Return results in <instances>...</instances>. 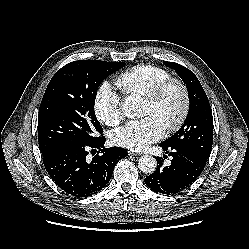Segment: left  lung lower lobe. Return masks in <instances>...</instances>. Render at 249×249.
Instances as JSON below:
<instances>
[{
  "label": "left lung lower lobe",
  "mask_w": 249,
  "mask_h": 249,
  "mask_svg": "<svg viewBox=\"0 0 249 249\" xmlns=\"http://www.w3.org/2000/svg\"><path fill=\"white\" fill-rule=\"evenodd\" d=\"M166 154L172 157L169 166H162L164 160L157 158V169L145 178L146 185L156 193L177 194L188 188L201 174L207 159L197 152L179 146L160 143Z\"/></svg>",
  "instance_id": "obj_1"
}]
</instances>
